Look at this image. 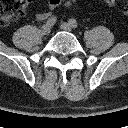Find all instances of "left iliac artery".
Listing matches in <instances>:
<instances>
[{
    "mask_svg": "<svg viewBox=\"0 0 128 128\" xmlns=\"http://www.w3.org/2000/svg\"><path fill=\"white\" fill-rule=\"evenodd\" d=\"M69 24L73 27V28H77L78 27V23L75 19H69Z\"/></svg>",
    "mask_w": 128,
    "mask_h": 128,
    "instance_id": "left-iliac-artery-1",
    "label": "left iliac artery"
}]
</instances>
